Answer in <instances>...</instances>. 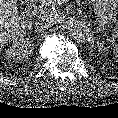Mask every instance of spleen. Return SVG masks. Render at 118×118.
I'll use <instances>...</instances> for the list:
<instances>
[{"label": "spleen", "instance_id": "spleen-1", "mask_svg": "<svg viewBox=\"0 0 118 118\" xmlns=\"http://www.w3.org/2000/svg\"><path fill=\"white\" fill-rule=\"evenodd\" d=\"M113 53H114L115 58L118 60V46H116V47L113 49Z\"/></svg>", "mask_w": 118, "mask_h": 118}]
</instances>
